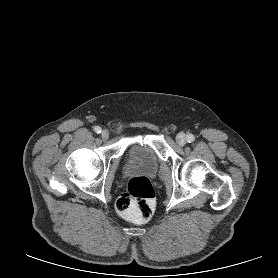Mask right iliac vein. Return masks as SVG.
Listing matches in <instances>:
<instances>
[{
	"instance_id": "1",
	"label": "right iliac vein",
	"mask_w": 278,
	"mask_h": 278,
	"mask_svg": "<svg viewBox=\"0 0 278 278\" xmlns=\"http://www.w3.org/2000/svg\"><path fill=\"white\" fill-rule=\"evenodd\" d=\"M101 137L103 140H107L109 138V132L107 130H103L101 133Z\"/></svg>"
}]
</instances>
